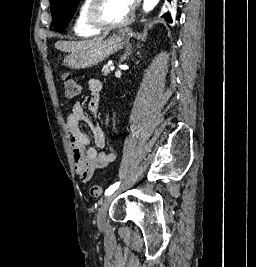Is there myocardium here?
<instances>
[{
  "mask_svg": "<svg viewBox=\"0 0 256 267\" xmlns=\"http://www.w3.org/2000/svg\"><path fill=\"white\" fill-rule=\"evenodd\" d=\"M110 0H93L88 13H87V20L92 28L101 31V32H111L118 29H121L134 21V16L125 24L122 25H108L106 24L99 15L101 6L104 2Z\"/></svg>",
  "mask_w": 256,
  "mask_h": 267,
  "instance_id": "myocardium-1",
  "label": "myocardium"
}]
</instances>
